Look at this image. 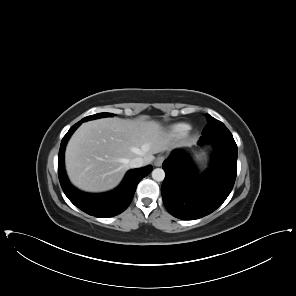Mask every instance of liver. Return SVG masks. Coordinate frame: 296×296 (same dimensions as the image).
Returning <instances> with one entry per match:
<instances>
[{
	"label": "liver",
	"mask_w": 296,
	"mask_h": 296,
	"mask_svg": "<svg viewBox=\"0 0 296 296\" xmlns=\"http://www.w3.org/2000/svg\"><path fill=\"white\" fill-rule=\"evenodd\" d=\"M171 136L154 120L103 118L83 123L70 138L65 152L71 182L87 192L116 187L130 169V161L141 157L144 165L154 154L170 150Z\"/></svg>",
	"instance_id": "6515ba94"
}]
</instances>
